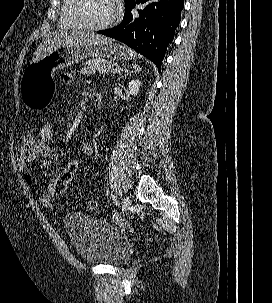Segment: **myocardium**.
<instances>
[{
    "label": "myocardium",
    "mask_w": 272,
    "mask_h": 303,
    "mask_svg": "<svg viewBox=\"0 0 272 303\" xmlns=\"http://www.w3.org/2000/svg\"><path fill=\"white\" fill-rule=\"evenodd\" d=\"M84 0H71V4L69 7V16L70 18L77 23L80 27L87 29V30H92V31H100V30H104L107 29L111 26H113L118 17H119V11L116 8V12L113 15V17L108 20L107 22L103 23V24H99V25H94L91 23H88L80 14L79 9L81 4L83 3Z\"/></svg>",
    "instance_id": "obj_1"
}]
</instances>
